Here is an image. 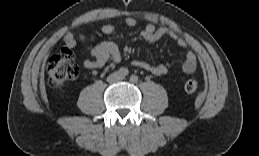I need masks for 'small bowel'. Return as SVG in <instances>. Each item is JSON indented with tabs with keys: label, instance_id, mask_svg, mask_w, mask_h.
Segmentation results:
<instances>
[{
	"label": "small bowel",
	"instance_id": "small-bowel-1",
	"mask_svg": "<svg viewBox=\"0 0 259 156\" xmlns=\"http://www.w3.org/2000/svg\"><path fill=\"white\" fill-rule=\"evenodd\" d=\"M124 22L129 27H135L137 25L136 19L133 17H126ZM101 32L105 36H113L116 34V29L112 24H105L101 28ZM141 36L144 40L151 44H155L158 40L163 37H169L177 41L179 47H186L187 43L183 38L178 37V35L171 30L164 27H156L152 23H148L141 32ZM84 43L86 41V36L83 33L77 36L73 33H67L64 36V42L68 48H74L77 42ZM92 59H87L84 61V66L89 69H100L105 66L108 61L119 62L121 59L120 51L115 43L111 41H103L91 50ZM132 65L141 68L143 70L149 71L154 75H164L168 71V67L164 64H151L145 61L135 60ZM197 66V58L194 52L189 51L186 54L184 62L182 64V71L186 74H191L195 71Z\"/></svg>",
	"mask_w": 259,
	"mask_h": 156
}]
</instances>
